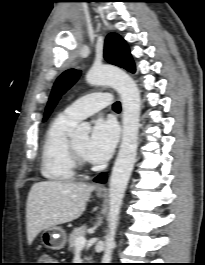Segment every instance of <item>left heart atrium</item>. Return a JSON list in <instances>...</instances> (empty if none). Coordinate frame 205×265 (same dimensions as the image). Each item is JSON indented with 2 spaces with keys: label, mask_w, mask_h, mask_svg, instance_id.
<instances>
[{
  "label": "left heart atrium",
  "mask_w": 205,
  "mask_h": 265,
  "mask_svg": "<svg viewBox=\"0 0 205 265\" xmlns=\"http://www.w3.org/2000/svg\"><path fill=\"white\" fill-rule=\"evenodd\" d=\"M118 139V130L111 120L98 119L84 149V156L93 163L109 159Z\"/></svg>",
  "instance_id": "1"
}]
</instances>
